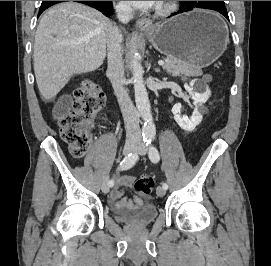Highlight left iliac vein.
Masks as SVG:
<instances>
[{"instance_id": "left-iliac-vein-1", "label": "left iliac vein", "mask_w": 271, "mask_h": 266, "mask_svg": "<svg viewBox=\"0 0 271 266\" xmlns=\"http://www.w3.org/2000/svg\"><path fill=\"white\" fill-rule=\"evenodd\" d=\"M135 151L140 155H145L146 152H147L145 146L142 145V144H140ZM156 193H157V195L159 197H163L165 195V193H166V190L163 187L158 186L157 189H156Z\"/></svg>"}]
</instances>
